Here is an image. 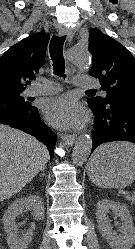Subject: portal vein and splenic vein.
Returning a JSON list of instances; mask_svg holds the SVG:
<instances>
[{"label": "portal vein and splenic vein", "mask_w": 135, "mask_h": 249, "mask_svg": "<svg viewBox=\"0 0 135 249\" xmlns=\"http://www.w3.org/2000/svg\"><path fill=\"white\" fill-rule=\"evenodd\" d=\"M123 194L127 195V196H130L128 192H123Z\"/></svg>", "instance_id": "portal-vein-and-splenic-vein-1"}]
</instances>
